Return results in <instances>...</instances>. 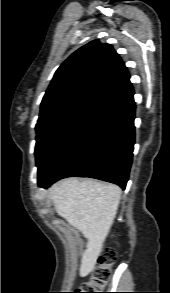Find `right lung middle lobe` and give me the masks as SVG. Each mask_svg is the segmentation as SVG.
I'll return each mask as SVG.
<instances>
[{"label": "right lung middle lobe", "instance_id": "dd1d6c3e", "mask_svg": "<svg viewBox=\"0 0 170 293\" xmlns=\"http://www.w3.org/2000/svg\"><path fill=\"white\" fill-rule=\"evenodd\" d=\"M108 108L81 104L60 110L36 125L38 183L47 179L58 164L88 134Z\"/></svg>", "mask_w": 170, "mask_h": 293}]
</instances>
